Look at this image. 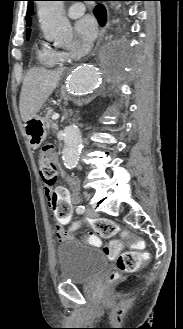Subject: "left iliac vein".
I'll list each match as a JSON object with an SVG mask.
<instances>
[{"label": "left iliac vein", "mask_w": 183, "mask_h": 329, "mask_svg": "<svg viewBox=\"0 0 183 329\" xmlns=\"http://www.w3.org/2000/svg\"><path fill=\"white\" fill-rule=\"evenodd\" d=\"M86 215L90 218H94V217L97 216V213L95 212V210L91 206H88L86 208Z\"/></svg>", "instance_id": "obj_1"}]
</instances>
